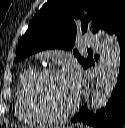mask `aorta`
<instances>
[{"label":"aorta","instance_id":"1","mask_svg":"<svg viewBox=\"0 0 125 128\" xmlns=\"http://www.w3.org/2000/svg\"><path fill=\"white\" fill-rule=\"evenodd\" d=\"M120 61V47L114 35H105V43L98 64L96 85L90 99V109L96 112L103 107L115 85Z\"/></svg>","mask_w":125,"mask_h":128}]
</instances>
